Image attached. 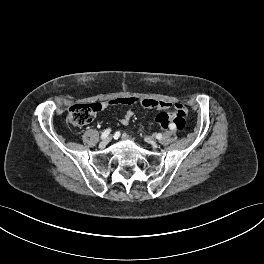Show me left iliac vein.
<instances>
[{"instance_id":"obj_1","label":"left iliac vein","mask_w":264,"mask_h":264,"mask_svg":"<svg viewBox=\"0 0 264 264\" xmlns=\"http://www.w3.org/2000/svg\"><path fill=\"white\" fill-rule=\"evenodd\" d=\"M145 140L148 142V143H150V144H153L155 141H154V139L153 138H151V137H145Z\"/></svg>"}]
</instances>
